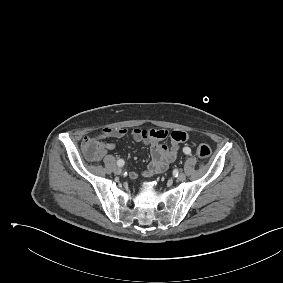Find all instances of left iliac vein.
<instances>
[{
  "mask_svg": "<svg viewBox=\"0 0 283 283\" xmlns=\"http://www.w3.org/2000/svg\"><path fill=\"white\" fill-rule=\"evenodd\" d=\"M176 179L178 181H184L186 179V175L184 173H179Z\"/></svg>",
  "mask_w": 283,
  "mask_h": 283,
  "instance_id": "left-iliac-vein-1",
  "label": "left iliac vein"
}]
</instances>
